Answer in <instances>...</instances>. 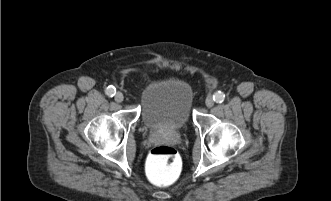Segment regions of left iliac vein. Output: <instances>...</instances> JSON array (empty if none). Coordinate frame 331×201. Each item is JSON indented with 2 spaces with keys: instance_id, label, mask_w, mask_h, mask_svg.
Segmentation results:
<instances>
[{
  "instance_id": "1",
  "label": "left iliac vein",
  "mask_w": 331,
  "mask_h": 201,
  "mask_svg": "<svg viewBox=\"0 0 331 201\" xmlns=\"http://www.w3.org/2000/svg\"><path fill=\"white\" fill-rule=\"evenodd\" d=\"M205 104L207 107H212L214 105V100H213V97L212 96H208L206 98V101H205Z\"/></svg>"
}]
</instances>
